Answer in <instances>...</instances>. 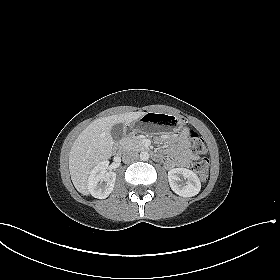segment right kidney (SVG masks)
Returning a JSON list of instances; mask_svg holds the SVG:
<instances>
[{"label": "right kidney", "instance_id": "right-kidney-1", "mask_svg": "<svg viewBox=\"0 0 280 280\" xmlns=\"http://www.w3.org/2000/svg\"><path fill=\"white\" fill-rule=\"evenodd\" d=\"M107 166L106 161L98 163L88 177V191L98 199L107 198L115 185L116 173L113 171L107 172Z\"/></svg>", "mask_w": 280, "mask_h": 280}]
</instances>
